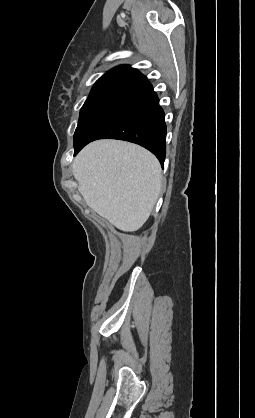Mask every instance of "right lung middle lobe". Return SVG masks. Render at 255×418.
I'll list each match as a JSON object with an SVG mask.
<instances>
[{"label":"right lung middle lobe","instance_id":"right-lung-middle-lobe-1","mask_svg":"<svg viewBox=\"0 0 255 418\" xmlns=\"http://www.w3.org/2000/svg\"><path fill=\"white\" fill-rule=\"evenodd\" d=\"M123 89V87L117 85L100 84L93 86L89 97L81 108L78 126L74 134V143L81 137L95 114Z\"/></svg>","mask_w":255,"mask_h":418}]
</instances>
